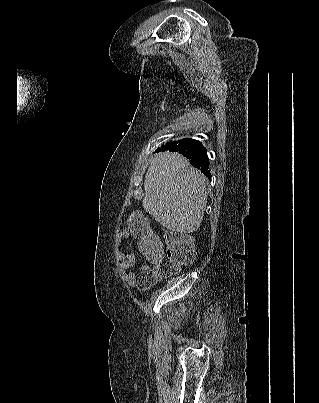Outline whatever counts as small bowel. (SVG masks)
I'll return each instance as SVG.
<instances>
[{"instance_id": "small-bowel-1", "label": "small bowel", "mask_w": 319, "mask_h": 403, "mask_svg": "<svg viewBox=\"0 0 319 403\" xmlns=\"http://www.w3.org/2000/svg\"><path fill=\"white\" fill-rule=\"evenodd\" d=\"M122 235L125 238L133 236L130 230L123 231ZM135 263H136V256L132 253L125 255L119 262V270L121 271V273L131 286H135L137 284L138 274L133 271L129 272L128 270L134 267ZM140 269L141 271H147L150 269V267L147 264H143L141 265Z\"/></svg>"}]
</instances>
